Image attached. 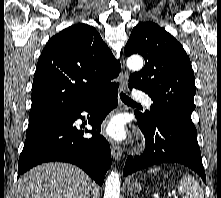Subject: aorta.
I'll use <instances>...</instances> for the list:
<instances>
[{
	"mask_svg": "<svg viewBox=\"0 0 221 198\" xmlns=\"http://www.w3.org/2000/svg\"><path fill=\"white\" fill-rule=\"evenodd\" d=\"M127 67L131 70L137 71L143 67V59L134 55L128 58ZM120 194V176L116 171H112L107 177L105 184L104 198H119Z\"/></svg>",
	"mask_w": 221,
	"mask_h": 198,
	"instance_id": "obj_1",
	"label": "aorta"
}]
</instances>
